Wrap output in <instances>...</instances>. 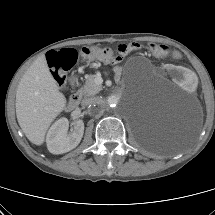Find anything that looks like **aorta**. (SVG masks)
<instances>
[{"label": "aorta", "mask_w": 215, "mask_h": 215, "mask_svg": "<svg viewBox=\"0 0 215 215\" xmlns=\"http://www.w3.org/2000/svg\"><path fill=\"white\" fill-rule=\"evenodd\" d=\"M116 104H117V98L116 97L111 96L108 98V100H107L108 106L113 107V106H116Z\"/></svg>", "instance_id": "762f6f07"}]
</instances>
